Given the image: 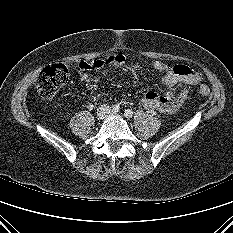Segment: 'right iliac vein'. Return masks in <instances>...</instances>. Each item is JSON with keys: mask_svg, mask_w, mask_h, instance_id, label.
Returning <instances> with one entry per match:
<instances>
[{"mask_svg": "<svg viewBox=\"0 0 233 233\" xmlns=\"http://www.w3.org/2000/svg\"><path fill=\"white\" fill-rule=\"evenodd\" d=\"M108 114H109V109L107 107H102V108L98 109V111H97V117L100 119L107 117Z\"/></svg>", "mask_w": 233, "mask_h": 233, "instance_id": "1", "label": "right iliac vein"}]
</instances>
